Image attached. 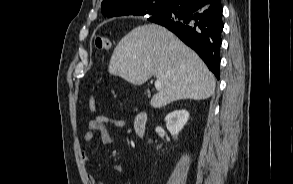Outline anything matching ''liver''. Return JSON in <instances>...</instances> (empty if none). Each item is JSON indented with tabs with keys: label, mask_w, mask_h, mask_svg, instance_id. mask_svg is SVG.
Returning <instances> with one entry per match:
<instances>
[{
	"label": "liver",
	"mask_w": 293,
	"mask_h": 184,
	"mask_svg": "<svg viewBox=\"0 0 293 184\" xmlns=\"http://www.w3.org/2000/svg\"><path fill=\"white\" fill-rule=\"evenodd\" d=\"M108 71L135 85L155 76L161 88L151 99L154 108L181 99H207L215 92V77L205 63L157 24L141 25L126 34L113 51Z\"/></svg>",
	"instance_id": "6515ba94"
}]
</instances>
